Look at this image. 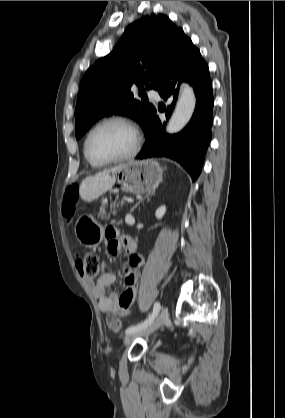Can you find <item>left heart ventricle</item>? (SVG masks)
<instances>
[{"label":"left heart ventricle","instance_id":"left-heart-ventricle-1","mask_svg":"<svg viewBox=\"0 0 285 418\" xmlns=\"http://www.w3.org/2000/svg\"><path fill=\"white\" fill-rule=\"evenodd\" d=\"M134 144L133 132L119 124H108L94 132L89 152L97 160H106L128 153Z\"/></svg>","mask_w":285,"mask_h":418}]
</instances>
